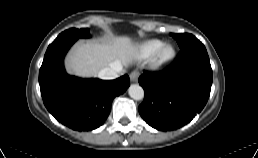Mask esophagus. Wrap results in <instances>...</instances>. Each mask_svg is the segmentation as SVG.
I'll list each match as a JSON object with an SVG mask.
<instances>
[{"label": "esophagus", "instance_id": "esophagus-1", "mask_svg": "<svg viewBox=\"0 0 258 158\" xmlns=\"http://www.w3.org/2000/svg\"><path fill=\"white\" fill-rule=\"evenodd\" d=\"M139 75H140V73L138 72V71H133V72H131L130 73V80L132 81V82H137V80H138V78H139Z\"/></svg>", "mask_w": 258, "mask_h": 158}]
</instances>
